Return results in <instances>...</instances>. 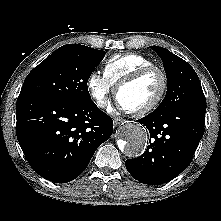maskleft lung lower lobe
<instances>
[{
  "instance_id": "0a47b994",
  "label": "left lung lower lobe",
  "mask_w": 221,
  "mask_h": 221,
  "mask_svg": "<svg viewBox=\"0 0 221 221\" xmlns=\"http://www.w3.org/2000/svg\"><path fill=\"white\" fill-rule=\"evenodd\" d=\"M206 107L155 110L139 119L150 133V144L138 158L126 160L128 172L149 185L166 183L190 164L204 134Z\"/></svg>"
}]
</instances>
